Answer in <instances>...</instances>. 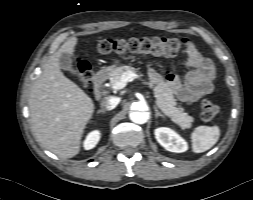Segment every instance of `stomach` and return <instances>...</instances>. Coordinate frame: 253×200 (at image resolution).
<instances>
[{
	"label": "stomach",
	"instance_id": "1",
	"mask_svg": "<svg viewBox=\"0 0 253 200\" xmlns=\"http://www.w3.org/2000/svg\"><path fill=\"white\" fill-rule=\"evenodd\" d=\"M115 63L118 64V63H119V60H115Z\"/></svg>",
	"mask_w": 253,
	"mask_h": 200
}]
</instances>
